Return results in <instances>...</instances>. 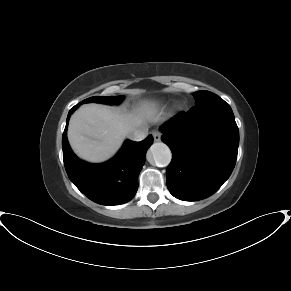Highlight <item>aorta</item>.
<instances>
[{"label": "aorta", "instance_id": "aorta-1", "mask_svg": "<svg viewBox=\"0 0 291 291\" xmlns=\"http://www.w3.org/2000/svg\"><path fill=\"white\" fill-rule=\"evenodd\" d=\"M149 152L153 158L154 163L158 167H166L171 162V151L169 147L162 142L154 143L150 147Z\"/></svg>", "mask_w": 291, "mask_h": 291}]
</instances>
